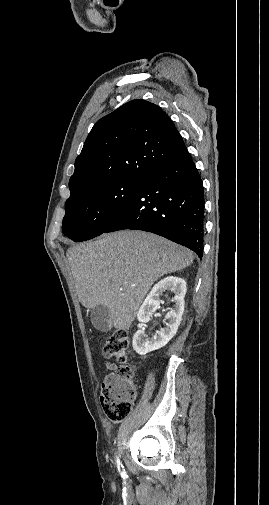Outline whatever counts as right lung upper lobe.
<instances>
[{"label":"right lung upper lobe","instance_id":"cb5924a9","mask_svg":"<svg viewBox=\"0 0 269 505\" xmlns=\"http://www.w3.org/2000/svg\"><path fill=\"white\" fill-rule=\"evenodd\" d=\"M186 150L173 121L159 106L132 100L93 126L75 161L70 197L108 182L141 181Z\"/></svg>","mask_w":269,"mask_h":505}]
</instances>
